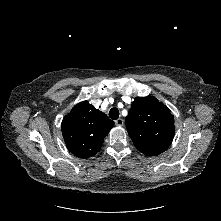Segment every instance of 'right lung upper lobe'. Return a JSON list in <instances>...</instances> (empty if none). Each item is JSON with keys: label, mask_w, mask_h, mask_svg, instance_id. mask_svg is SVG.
Segmentation results:
<instances>
[{"label": "right lung upper lobe", "mask_w": 221, "mask_h": 221, "mask_svg": "<svg viewBox=\"0 0 221 221\" xmlns=\"http://www.w3.org/2000/svg\"><path fill=\"white\" fill-rule=\"evenodd\" d=\"M114 122L87 101L72 108L62 121L61 130L68 150L80 158L99 152Z\"/></svg>", "instance_id": "right-lung-upper-lobe-1"}]
</instances>
